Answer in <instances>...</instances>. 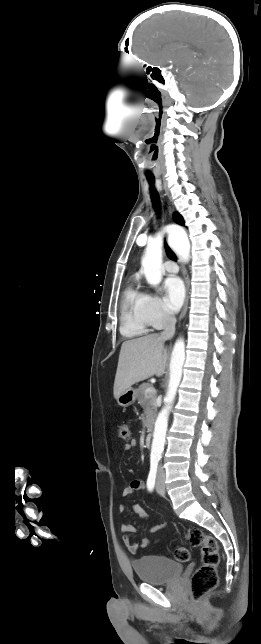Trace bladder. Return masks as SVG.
Wrapping results in <instances>:
<instances>
[{
    "label": "bladder",
    "mask_w": 261,
    "mask_h": 644,
    "mask_svg": "<svg viewBox=\"0 0 261 644\" xmlns=\"http://www.w3.org/2000/svg\"><path fill=\"white\" fill-rule=\"evenodd\" d=\"M133 569L142 582L160 585L177 579L183 571V566L163 556L146 555L133 562Z\"/></svg>",
    "instance_id": "31cf9c89"
}]
</instances>
